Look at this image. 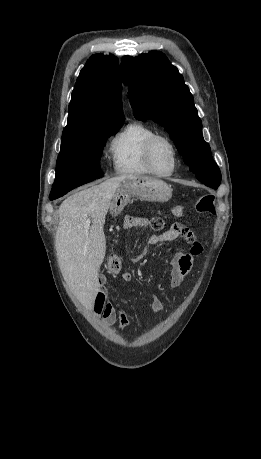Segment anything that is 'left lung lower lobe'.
Masks as SVG:
<instances>
[{
    "mask_svg": "<svg viewBox=\"0 0 261 459\" xmlns=\"http://www.w3.org/2000/svg\"><path fill=\"white\" fill-rule=\"evenodd\" d=\"M206 186L208 187H211V188H214V189H217L219 185H215V184H205Z\"/></svg>",
    "mask_w": 261,
    "mask_h": 459,
    "instance_id": "0a47b994",
    "label": "left lung lower lobe"
}]
</instances>
